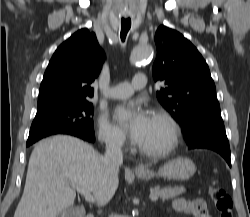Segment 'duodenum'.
Segmentation results:
<instances>
[{"label":"duodenum","mask_w":250,"mask_h":217,"mask_svg":"<svg viewBox=\"0 0 250 217\" xmlns=\"http://www.w3.org/2000/svg\"><path fill=\"white\" fill-rule=\"evenodd\" d=\"M85 217H94L93 214H87Z\"/></svg>","instance_id":"obj_1"}]
</instances>
